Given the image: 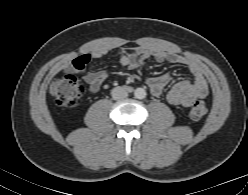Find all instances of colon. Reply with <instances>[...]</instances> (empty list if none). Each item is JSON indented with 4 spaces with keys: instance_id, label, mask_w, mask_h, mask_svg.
<instances>
[{
    "instance_id": "1",
    "label": "colon",
    "mask_w": 248,
    "mask_h": 195,
    "mask_svg": "<svg viewBox=\"0 0 248 195\" xmlns=\"http://www.w3.org/2000/svg\"><path fill=\"white\" fill-rule=\"evenodd\" d=\"M83 92L82 83L73 75L55 78L50 85V94L56 103L65 108L73 107ZM207 108L203 101H195L190 109L192 119H200L206 114Z\"/></svg>"
}]
</instances>
